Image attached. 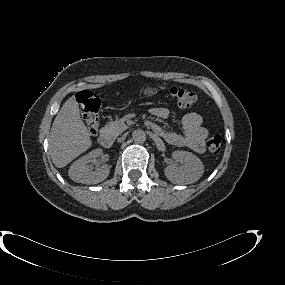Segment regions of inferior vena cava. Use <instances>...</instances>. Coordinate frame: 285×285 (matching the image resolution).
I'll list each match as a JSON object with an SVG mask.
<instances>
[{
    "instance_id": "1",
    "label": "inferior vena cava",
    "mask_w": 285,
    "mask_h": 285,
    "mask_svg": "<svg viewBox=\"0 0 285 285\" xmlns=\"http://www.w3.org/2000/svg\"><path fill=\"white\" fill-rule=\"evenodd\" d=\"M116 142H117L118 145H123V144H124V139L121 138V137H118V138L116 139Z\"/></svg>"
}]
</instances>
